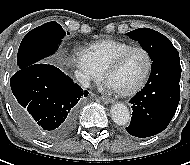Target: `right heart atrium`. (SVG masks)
<instances>
[{
  "mask_svg": "<svg viewBox=\"0 0 190 165\" xmlns=\"http://www.w3.org/2000/svg\"><path fill=\"white\" fill-rule=\"evenodd\" d=\"M70 63L75 69L78 80L84 85L99 82L103 77V73L95 65L90 53L83 47L73 50Z\"/></svg>",
  "mask_w": 190,
  "mask_h": 165,
  "instance_id": "obj_1",
  "label": "right heart atrium"
}]
</instances>
